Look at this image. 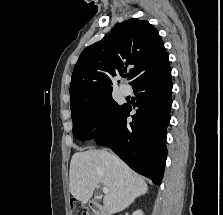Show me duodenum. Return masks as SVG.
I'll list each match as a JSON object with an SVG mask.
<instances>
[{
    "label": "duodenum",
    "mask_w": 223,
    "mask_h": 215,
    "mask_svg": "<svg viewBox=\"0 0 223 215\" xmlns=\"http://www.w3.org/2000/svg\"><path fill=\"white\" fill-rule=\"evenodd\" d=\"M92 210H93L94 215H105L104 208L102 207L100 202H93Z\"/></svg>",
    "instance_id": "duodenum-1"
}]
</instances>
